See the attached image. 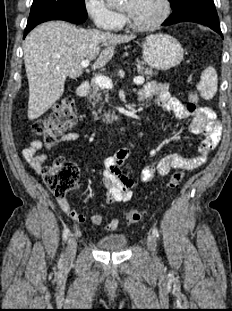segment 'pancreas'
<instances>
[{
  "label": "pancreas",
  "mask_w": 232,
  "mask_h": 311,
  "mask_svg": "<svg viewBox=\"0 0 232 311\" xmlns=\"http://www.w3.org/2000/svg\"><path fill=\"white\" fill-rule=\"evenodd\" d=\"M137 71L141 74L146 75L147 78L152 77L153 75H157V72L153 71V69L148 68V67L146 68L143 67L141 62H138L137 64ZM90 86H91V91L87 97L88 101L90 102V106L95 108L100 103V108L97 111L93 112L94 119L98 120L102 118V116H104L102 120L105 123L107 124L112 123L113 120L116 119V116L113 113L111 114L109 111L107 113L105 111H102V107L104 103L101 101L103 97H105V102H108V98H109L108 91L100 87L99 85H97L94 81L91 82ZM102 112H103V115L101 114Z\"/></svg>",
  "instance_id": "1"
}]
</instances>
